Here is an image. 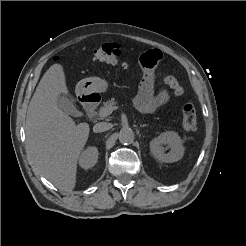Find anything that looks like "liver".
Segmentation results:
<instances>
[{
  "label": "liver",
  "mask_w": 246,
  "mask_h": 246,
  "mask_svg": "<svg viewBox=\"0 0 246 246\" xmlns=\"http://www.w3.org/2000/svg\"><path fill=\"white\" fill-rule=\"evenodd\" d=\"M68 94L62 65L53 64L41 78L26 117V150L34 168L58 189L76 185L77 163L88 136L87 123L75 124L57 103Z\"/></svg>",
  "instance_id": "6515ba94"
}]
</instances>
